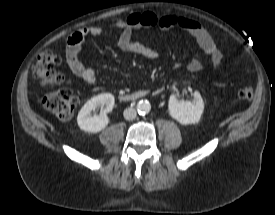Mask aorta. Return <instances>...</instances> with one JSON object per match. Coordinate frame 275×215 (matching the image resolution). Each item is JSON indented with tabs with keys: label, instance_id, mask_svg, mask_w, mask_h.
<instances>
[{
	"label": "aorta",
	"instance_id": "762f6f07",
	"mask_svg": "<svg viewBox=\"0 0 275 215\" xmlns=\"http://www.w3.org/2000/svg\"><path fill=\"white\" fill-rule=\"evenodd\" d=\"M151 110V105L148 101L142 100L137 104V111L139 114H147Z\"/></svg>",
	"mask_w": 275,
	"mask_h": 215
}]
</instances>
